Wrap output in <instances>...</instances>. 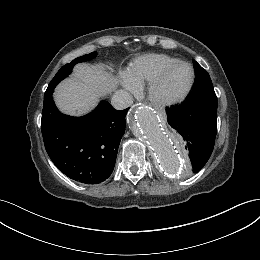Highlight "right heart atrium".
Masks as SVG:
<instances>
[{"instance_id": "obj_1", "label": "right heart atrium", "mask_w": 260, "mask_h": 260, "mask_svg": "<svg viewBox=\"0 0 260 260\" xmlns=\"http://www.w3.org/2000/svg\"><path fill=\"white\" fill-rule=\"evenodd\" d=\"M123 85L125 88L131 91H136L139 88V85L132 83L131 81L128 80V78L123 81Z\"/></svg>"}]
</instances>
